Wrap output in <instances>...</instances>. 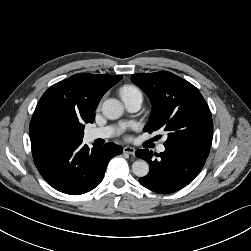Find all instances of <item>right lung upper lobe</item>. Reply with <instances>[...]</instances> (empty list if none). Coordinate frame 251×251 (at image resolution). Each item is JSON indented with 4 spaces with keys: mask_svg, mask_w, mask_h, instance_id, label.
<instances>
[{
    "mask_svg": "<svg viewBox=\"0 0 251 251\" xmlns=\"http://www.w3.org/2000/svg\"><path fill=\"white\" fill-rule=\"evenodd\" d=\"M121 79L78 73L49 87L30 122L32 147L82 141L84 124L94 122L100 99Z\"/></svg>",
    "mask_w": 251,
    "mask_h": 251,
    "instance_id": "1",
    "label": "right lung upper lobe"
}]
</instances>
